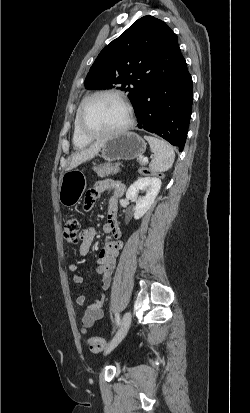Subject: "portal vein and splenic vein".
<instances>
[{"label": "portal vein and splenic vein", "instance_id": "18ae733b", "mask_svg": "<svg viewBox=\"0 0 250 413\" xmlns=\"http://www.w3.org/2000/svg\"><path fill=\"white\" fill-rule=\"evenodd\" d=\"M142 161L146 163L148 162V158H143Z\"/></svg>", "mask_w": 250, "mask_h": 413}]
</instances>
